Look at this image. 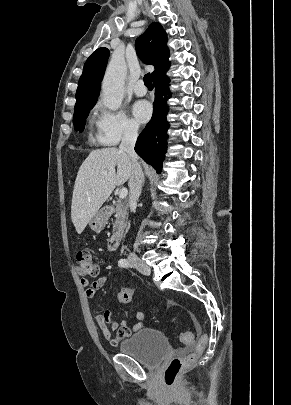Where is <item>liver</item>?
Instances as JSON below:
<instances>
[{
	"label": "liver",
	"mask_w": 291,
	"mask_h": 405,
	"mask_svg": "<svg viewBox=\"0 0 291 405\" xmlns=\"http://www.w3.org/2000/svg\"><path fill=\"white\" fill-rule=\"evenodd\" d=\"M117 167V172L115 168ZM131 160L114 148L92 151L79 168L71 205V219L81 234L117 185L130 178Z\"/></svg>",
	"instance_id": "6515ba94"
}]
</instances>
